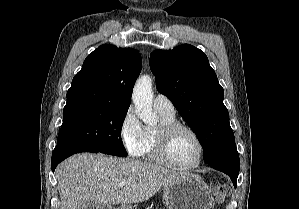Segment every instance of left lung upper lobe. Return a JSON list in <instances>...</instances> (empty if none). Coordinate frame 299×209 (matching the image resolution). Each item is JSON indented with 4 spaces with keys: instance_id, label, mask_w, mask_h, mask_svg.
I'll return each instance as SVG.
<instances>
[{
    "instance_id": "left-lung-upper-lobe-1",
    "label": "left lung upper lobe",
    "mask_w": 299,
    "mask_h": 209,
    "mask_svg": "<svg viewBox=\"0 0 299 209\" xmlns=\"http://www.w3.org/2000/svg\"><path fill=\"white\" fill-rule=\"evenodd\" d=\"M150 68L158 91L166 95L195 132L207 164L235 141L229 113L223 104L224 90L207 56L184 44L173 50L151 53Z\"/></svg>"
}]
</instances>
